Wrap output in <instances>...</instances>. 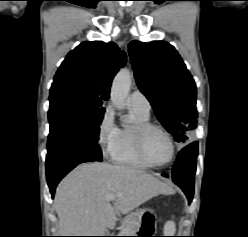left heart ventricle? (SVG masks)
<instances>
[{
	"label": "left heart ventricle",
	"mask_w": 248,
	"mask_h": 237,
	"mask_svg": "<svg viewBox=\"0 0 248 237\" xmlns=\"http://www.w3.org/2000/svg\"><path fill=\"white\" fill-rule=\"evenodd\" d=\"M144 148L148 158L154 163L167 161L171 153L168 139L157 130H151L146 134Z\"/></svg>",
	"instance_id": "left-heart-ventricle-1"
}]
</instances>
